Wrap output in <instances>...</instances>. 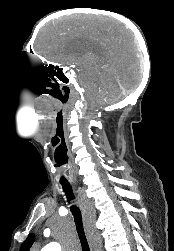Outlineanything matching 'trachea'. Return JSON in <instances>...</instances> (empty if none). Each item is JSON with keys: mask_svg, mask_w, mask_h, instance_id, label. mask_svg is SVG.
<instances>
[{"mask_svg": "<svg viewBox=\"0 0 174 251\" xmlns=\"http://www.w3.org/2000/svg\"><path fill=\"white\" fill-rule=\"evenodd\" d=\"M61 185L63 186V190L67 196V201L70 202L75 199L74 194L72 192V188L69 183L67 182H61ZM71 212L74 216V221L76 223V229L78 232V236L81 242L82 250L83 251H90L89 245L85 236L84 228H83V222H82V216L79 208L75 205L71 206Z\"/></svg>", "mask_w": 174, "mask_h": 251, "instance_id": "obj_1", "label": "trachea"}]
</instances>
